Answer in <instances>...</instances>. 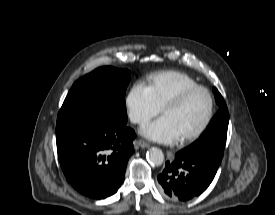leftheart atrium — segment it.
I'll list each match as a JSON object with an SVG mask.
<instances>
[{
    "instance_id": "left-heart-atrium-1",
    "label": "left heart atrium",
    "mask_w": 275,
    "mask_h": 215,
    "mask_svg": "<svg viewBox=\"0 0 275 215\" xmlns=\"http://www.w3.org/2000/svg\"><path fill=\"white\" fill-rule=\"evenodd\" d=\"M142 134L153 141L161 143H173L178 139L174 126L165 116L147 124L142 129Z\"/></svg>"
}]
</instances>
